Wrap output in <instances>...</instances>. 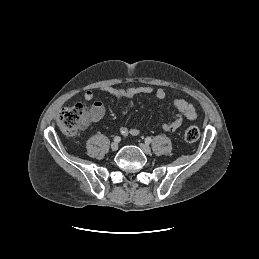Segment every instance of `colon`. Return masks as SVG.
Wrapping results in <instances>:
<instances>
[{"label":"colon","mask_w":259,"mask_h":259,"mask_svg":"<svg viewBox=\"0 0 259 259\" xmlns=\"http://www.w3.org/2000/svg\"><path fill=\"white\" fill-rule=\"evenodd\" d=\"M94 109L83 104L62 109L57 116V124L66 136H74L85 128L93 119ZM200 137L199 129L190 125L184 130V139L187 142H195Z\"/></svg>","instance_id":"obj_1"}]
</instances>
